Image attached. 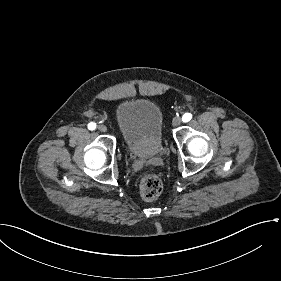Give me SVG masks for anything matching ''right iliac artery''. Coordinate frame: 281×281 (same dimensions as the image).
<instances>
[{"label": "right iliac artery", "mask_w": 281, "mask_h": 281, "mask_svg": "<svg viewBox=\"0 0 281 281\" xmlns=\"http://www.w3.org/2000/svg\"><path fill=\"white\" fill-rule=\"evenodd\" d=\"M88 128H89L90 130H94V129L96 128V124H95V123H89V124H88Z\"/></svg>", "instance_id": "right-iliac-artery-1"}]
</instances>
